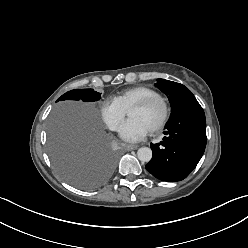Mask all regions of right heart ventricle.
<instances>
[{
  "label": "right heart ventricle",
  "instance_id": "1",
  "mask_svg": "<svg viewBox=\"0 0 248 248\" xmlns=\"http://www.w3.org/2000/svg\"><path fill=\"white\" fill-rule=\"evenodd\" d=\"M157 94L156 90L147 86H135L121 91L113 96L112 100L116 102L124 111H129L135 103Z\"/></svg>",
  "mask_w": 248,
  "mask_h": 248
}]
</instances>
